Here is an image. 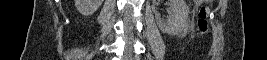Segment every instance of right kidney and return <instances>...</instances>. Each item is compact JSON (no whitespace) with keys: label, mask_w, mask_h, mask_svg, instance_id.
Returning <instances> with one entry per match:
<instances>
[{"label":"right kidney","mask_w":267,"mask_h":60,"mask_svg":"<svg viewBox=\"0 0 267 60\" xmlns=\"http://www.w3.org/2000/svg\"><path fill=\"white\" fill-rule=\"evenodd\" d=\"M103 0H75V6L83 16L92 15L102 5Z\"/></svg>","instance_id":"right-kidney-1"}]
</instances>
